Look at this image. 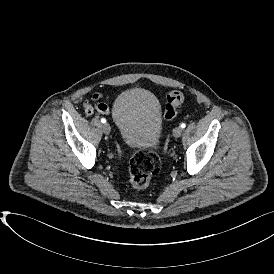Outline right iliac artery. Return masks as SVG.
Listing matches in <instances>:
<instances>
[{"label": "right iliac artery", "instance_id": "1", "mask_svg": "<svg viewBox=\"0 0 274 274\" xmlns=\"http://www.w3.org/2000/svg\"><path fill=\"white\" fill-rule=\"evenodd\" d=\"M101 122H102V123H106V119H105V118H102V119H101Z\"/></svg>", "mask_w": 274, "mask_h": 274}]
</instances>
